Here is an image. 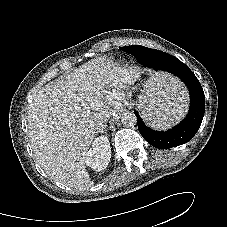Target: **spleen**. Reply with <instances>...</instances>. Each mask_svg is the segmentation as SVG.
I'll list each match as a JSON object with an SVG mask.
<instances>
[{
	"label": "spleen",
	"mask_w": 227,
	"mask_h": 227,
	"mask_svg": "<svg viewBox=\"0 0 227 227\" xmlns=\"http://www.w3.org/2000/svg\"><path fill=\"white\" fill-rule=\"evenodd\" d=\"M182 88L178 80L167 74L152 76L140 106L143 118L153 127H170L180 121L186 111V91Z\"/></svg>",
	"instance_id": "3e777b00"
}]
</instances>
